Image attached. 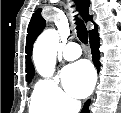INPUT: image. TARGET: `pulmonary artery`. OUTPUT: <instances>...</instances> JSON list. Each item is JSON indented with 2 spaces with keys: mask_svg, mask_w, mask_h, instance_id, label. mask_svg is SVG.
I'll return each instance as SVG.
<instances>
[{
  "mask_svg": "<svg viewBox=\"0 0 121 113\" xmlns=\"http://www.w3.org/2000/svg\"><path fill=\"white\" fill-rule=\"evenodd\" d=\"M81 48L75 42L68 43L62 51V56L67 61H73L81 56Z\"/></svg>",
  "mask_w": 121,
  "mask_h": 113,
  "instance_id": "e3ab8cb5",
  "label": "pulmonary artery"
}]
</instances>
